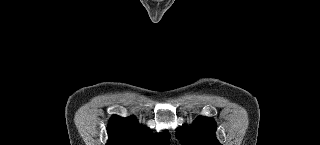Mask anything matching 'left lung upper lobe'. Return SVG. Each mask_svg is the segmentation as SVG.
<instances>
[{"mask_svg":"<svg viewBox=\"0 0 320 145\" xmlns=\"http://www.w3.org/2000/svg\"><path fill=\"white\" fill-rule=\"evenodd\" d=\"M215 130L216 124L212 118L198 117L189 128H179L176 136L181 139L182 145H220Z\"/></svg>","mask_w":320,"mask_h":145,"instance_id":"5c2ea615","label":"left lung upper lobe"}]
</instances>
